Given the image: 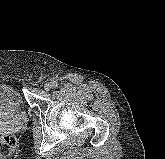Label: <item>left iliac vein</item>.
<instances>
[{
  "label": "left iliac vein",
  "mask_w": 165,
  "mask_h": 159,
  "mask_svg": "<svg viewBox=\"0 0 165 159\" xmlns=\"http://www.w3.org/2000/svg\"><path fill=\"white\" fill-rule=\"evenodd\" d=\"M53 86H52V82H47L45 85H44V89L46 91H49L50 89H52Z\"/></svg>",
  "instance_id": "1"
}]
</instances>
